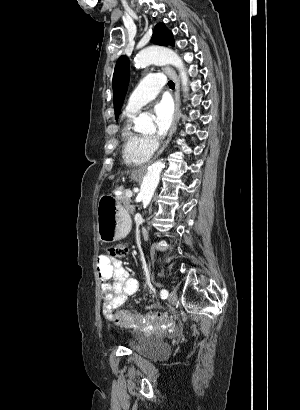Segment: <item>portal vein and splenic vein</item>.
I'll list each match as a JSON object with an SVG mask.
<instances>
[{
    "mask_svg": "<svg viewBox=\"0 0 300 410\" xmlns=\"http://www.w3.org/2000/svg\"><path fill=\"white\" fill-rule=\"evenodd\" d=\"M126 196H127L128 198H131V197L133 196L132 191H127V192H126Z\"/></svg>",
    "mask_w": 300,
    "mask_h": 410,
    "instance_id": "portal-vein-and-splenic-vein-1",
    "label": "portal vein and splenic vein"
}]
</instances>
